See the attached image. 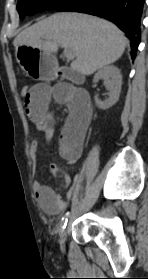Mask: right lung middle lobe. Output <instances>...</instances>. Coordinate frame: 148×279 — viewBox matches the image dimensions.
<instances>
[{"mask_svg": "<svg viewBox=\"0 0 148 279\" xmlns=\"http://www.w3.org/2000/svg\"><path fill=\"white\" fill-rule=\"evenodd\" d=\"M77 0H18L17 10L20 18L33 15L43 10L57 9L63 5L71 4Z\"/></svg>", "mask_w": 148, "mask_h": 279, "instance_id": "1", "label": "right lung middle lobe"}]
</instances>
